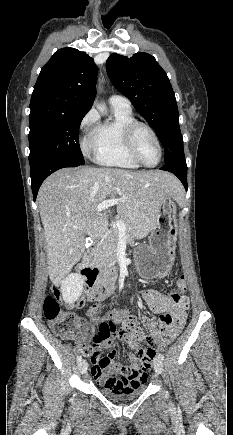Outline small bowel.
Here are the masks:
<instances>
[{
  "mask_svg": "<svg viewBox=\"0 0 233 435\" xmlns=\"http://www.w3.org/2000/svg\"><path fill=\"white\" fill-rule=\"evenodd\" d=\"M114 288L115 281L110 285V292L113 291ZM176 289L177 292H174L171 295H164L158 289L154 288L146 289L142 293L143 299L149 310L152 313L161 315L159 322L154 321L148 316L141 317L142 324L152 330L153 334L156 336V344L158 347L164 346L169 338L174 336L183 327L187 319L189 298L179 294V292H183L186 289L185 281L182 283L178 280L176 282ZM78 303L76 306H78ZM97 309V306L91 307L90 313L94 314ZM126 313L125 310H121L115 312L109 318H102L98 329V335L102 338L101 343L98 345L93 344L92 346H90L88 340L90 333L94 330V326L88 321L80 320L76 332V341L78 345H87L91 352L101 351L103 347L110 346L112 344L111 341L116 334V324L120 318L126 315ZM164 317L167 319L164 320ZM119 338L130 345H136L138 341L137 331L130 328L128 331H123ZM108 358V364L93 363L91 371L98 385L115 386L113 384V373L131 375L132 372L124 367L122 359L113 352L109 354ZM128 358L137 368V376L135 380L140 384L149 372L148 366L145 364L137 366L136 363L139 358L132 353L128 354Z\"/></svg>",
  "mask_w": 233,
  "mask_h": 435,
  "instance_id": "obj_1",
  "label": "small bowel"
}]
</instances>
